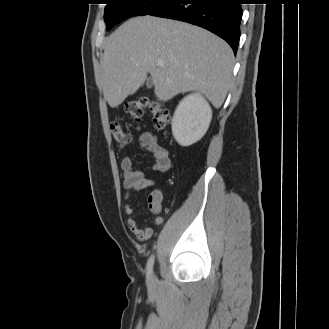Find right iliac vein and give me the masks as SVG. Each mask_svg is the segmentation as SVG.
<instances>
[{
    "mask_svg": "<svg viewBox=\"0 0 329 329\" xmlns=\"http://www.w3.org/2000/svg\"><path fill=\"white\" fill-rule=\"evenodd\" d=\"M149 282H150V284H154L155 283V277H154V275H151L150 276Z\"/></svg>",
    "mask_w": 329,
    "mask_h": 329,
    "instance_id": "63e3f726",
    "label": "right iliac vein"
}]
</instances>
